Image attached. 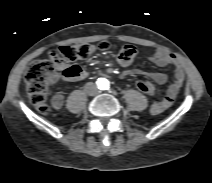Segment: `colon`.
<instances>
[{"label": "colon", "mask_w": 212, "mask_h": 183, "mask_svg": "<svg viewBox=\"0 0 212 183\" xmlns=\"http://www.w3.org/2000/svg\"><path fill=\"white\" fill-rule=\"evenodd\" d=\"M111 48L112 44L108 41L97 44L64 45L52 50L48 59L32 63L24 76L26 92L32 105L43 114L49 111L48 88L56 77L59 65L67 64L63 76L72 78L77 75L78 69L74 65H69V61L86 59L98 51L106 52ZM135 85L138 90L149 96L155 93L154 85L149 80H137Z\"/></svg>", "instance_id": "colon-1"}]
</instances>
